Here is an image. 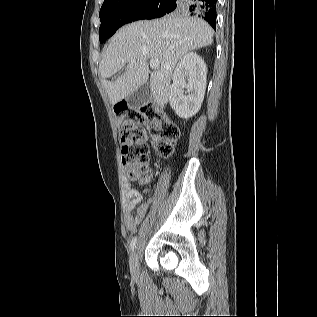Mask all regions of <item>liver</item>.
<instances>
[{
	"label": "liver",
	"instance_id": "1",
	"mask_svg": "<svg viewBox=\"0 0 317 317\" xmlns=\"http://www.w3.org/2000/svg\"><path fill=\"white\" fill-rule=\"evenodd\" d=\"M213 34L204 20L175 14L119 29L105 48L99 65L111 104L126 99L146 84L150 74L148 60L158 59L159 66L151 73L149 85L154 102L163 108L169 100L171 77L178 60L189 51L211 45ZM126 64L122 73L107 80Z\"/></svg>",
	"mask_w": 317,
	"mask_h": 317
}]
</instances>
